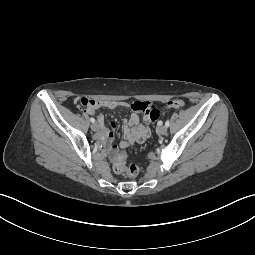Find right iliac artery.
Instances as JSON below:
<instances>
[{
	"label": "right iliac artery",
	"mask_w": 255,
	"mask_h": 255,
	"mask_svg": "<svg viewBox=\"0 0 255 255\" xmlns=\"http://www.w3.org/2000/svg\"><path fill=\"white\" fill-rule=\"evenodd\" d=\"M90 121H91L92 123H94V122H95V119H94V118H90Z\"/></svg>",
	"instance_id": "obj_1"
}]
</instances>
